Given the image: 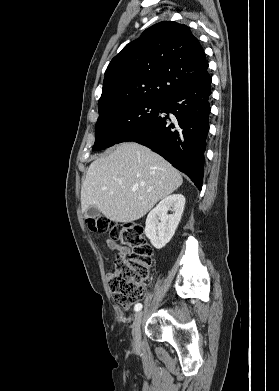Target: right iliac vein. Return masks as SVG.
<instances>
[{"label": "right iliac vein", "instance_id": "obj_1", "mask_svg": "<svg viewBox=\"0 0 279 391\" xmlns=\"http://www.w3.org/2000/svg\"><path fill=\"white\" fill-rule=\"evenodd\" d=\"M142 319H143V313L138 312L133 322L132 337H133V342L136 345H138L140 342Z\"/></svg>", "mask_w": 279, "mask_h": 391}]
</instances>
